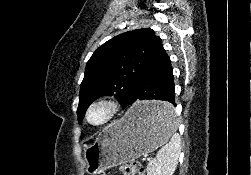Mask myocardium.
Wrapping results in <instances>:
<instances>
[{
    "mask_svg": "<svg viewBox=\"0 0 251 175\" xmlns=\"http://www.w3.org/2000/svg\"><path fill=\"white\" fill-rule=\"evenodd\" d=\"M99 104L108 106L111 110V113L109 118L105 122L101 124H94L90 120V112L94 106ZM124 109H125L124 104L117 95L103 94L90 101L85 110V120L88 123V125H90L93 128H98V129L106 128L114 124L123 115Z\"/></svg>",
    "mask_w": 251,
    "mask_h": 175,
    "instance_id": "f54148a6",
    "label": "myocardium"
}]
</instances>
